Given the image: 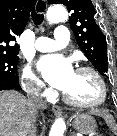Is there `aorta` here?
Wrapping results in <instances>:
<instances>
[{
  "mask_svg": "<svg viewBox=\"0 0 117 136\" xmlns=\"http://www.w3.org/2000/svg\"><path fill=\"white\" fill-rule=\"evenodd\" d=\"M68 19V13L66 9L61 5H54L48 9L47 20L49 23H59ZM66 125L63 118L55 120L51 127L49 136H63Z\"/></svg>",
  "mask_w": 117,
  "mask_h": 136,
  "instance_id": "obj_1",
  "label": "aorta"
}]
</instances>
